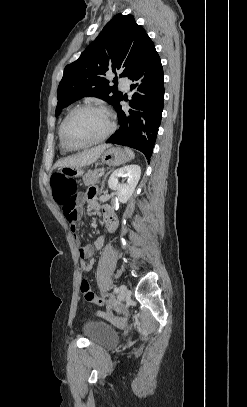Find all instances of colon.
<instances>
[{"mask_svg":"<svg viewBox=\"0 0 247 407\" xmlns=\"http://www.w3.org/2000/svg\"><path fill=\"white\" fill-rule=\"evenodd\" d=\"M53 198L57 203H63L74 197L78 190V184L74 179L65 177L63 174H55L51 178ZM80 292L87 302L98 305H107V299L97 296L91 289L87 278L80 282Z\"/></svg>","mask_w":247,"mask_h":407,"instance_id":"colon-1","label":"colon"}]
</instances>
